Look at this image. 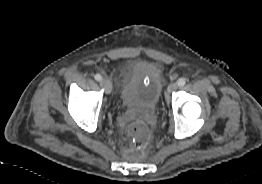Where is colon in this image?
I'll return each mask as SVG.
<instances>
[{
  "instance_id": "obj_1",
  "label": "colon",
  "mask_w": 262,
  "mask_h": 184,
  "mask_svg": "<svg viewBox=\"0 0 262 184\" xmlns=\"http://www.w3.org/2000/svg\"><path fill=\"white\" fill-rule=\"evenodd\" d=\"M136 131H138L139 134L133 138V145L136 149H143L147 145V132L141 128H137Z\"/></svg>"
}]
</instances>
